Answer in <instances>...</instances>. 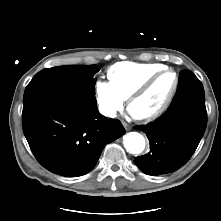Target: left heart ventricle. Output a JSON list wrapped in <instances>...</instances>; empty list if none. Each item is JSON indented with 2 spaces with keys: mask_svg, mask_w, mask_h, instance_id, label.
I'll use <instances>...</instances> for the list:
<instances>
[{
  "mask_svg": "<svg viewBox=\"0 0 221 221\" xmlns=\"http://www.w3.org/2000/svg\"><path fill=\"white\" fill-rule=\"evenodd\" d=\"M174 75L164 74L153 87L131 107L133 115H147L157 111L165 102L174 85Z\"/></svg>",
  "mask_w": 221,
  "mask_h": 221,
  "instance_id": "obj_1",
  "label": "left heart ventricle"
}]
</instances>
